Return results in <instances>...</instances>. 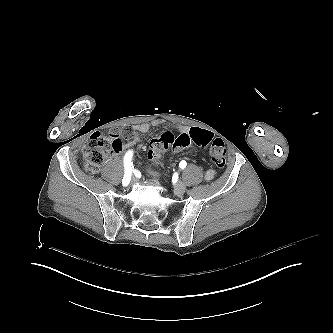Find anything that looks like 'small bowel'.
<instances>
[{
	"label": "small bowel",
	"mask_w": 333,
	"mask_h": 333,
	"mask_svg": "<svg viewBox=\"0 0 333 333\" xmlns=\"http://www.w3.org/2000/svg\"><path fill=\"white\" fill-rule=\"evenodd\" d=\"M164 122L163 121H160V120H157V121H154L152 124H148V123H143V124H139V125H136L134 127V137L132 138L131 141H129L126 145V148L127 149H132L134 148V146L136 145V143H138L140 140H141V135L142 134H145L149 131L151 125L153 126H159V125H163ZM167 127H172V122H167ZM175 129L179 130L182 128V132L181 134L179 135V137H188V136H191V135H195V136H198V137H208V138H212V134L211 132H209L208 130H205V129H201V128H191V129H187V125H182L177 123L175 124ZM214 177V171L213 170H208L205 174V179L207 181H210L212 180V178Z\"/></svg>",
	"instance_id": "small-bowel-1"
}]
</instances>
